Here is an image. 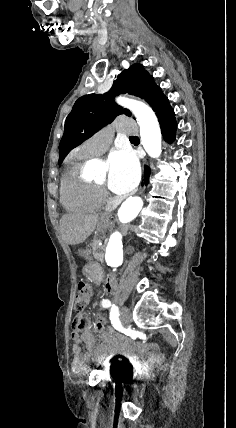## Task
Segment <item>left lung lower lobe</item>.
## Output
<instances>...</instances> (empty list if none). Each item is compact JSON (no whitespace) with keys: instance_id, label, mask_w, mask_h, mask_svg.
<instances>
[{"instance_id":"0a47b994","label":"left lung lower lobe","mask_w":236,"mask_h":428,"mask_svg":"<svg viewBox=\"0 0 236 428\" xmlns=\"http://www.w3.org/2000/svg\"><path fill=\"white\" fill-rule=\"evenodd\" d=\"M156 115L158 117V121L161 127V132L164 137V140L168 143H172L175 139L177 123H176L174 111L171 108L170 104H167L164 107H162L158 112H156ZM149 174H150V169L148 167H145V173H144L145 185H147L148 183Z\"/></svg>"}]
</instances>
